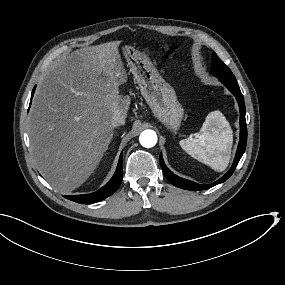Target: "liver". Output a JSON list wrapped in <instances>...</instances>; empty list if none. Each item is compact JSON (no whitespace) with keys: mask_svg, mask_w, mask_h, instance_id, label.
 <instances>
[{"mask_svg":"<svg viewBox=\"0 0 285 285\" xmlns=\"http://www.w3.org/2000/svg\"><path fill=\"white\" fill-rule=\"evenodd\" d=\"M120 41L63 54L38 82L28 118L30 150L39 172L62 194L81 186L108 149L114 112L125 118L130 97Z\"/></svg>","mask_w":285,"mask_h":285,"instance_id":"obj_1","label":"liver"}]
</instances>
